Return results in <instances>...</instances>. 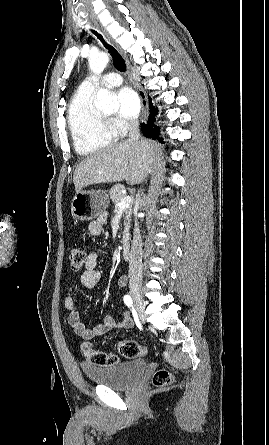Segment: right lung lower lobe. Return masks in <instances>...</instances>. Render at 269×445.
Wrapping results in <instances>:
<instances>
[{
	"instance_id": "right-lung-lower-lobe-1",
	"label": "right lung lower lobe",
	"mask_w": 269,
	"mask_h": 445,
	"mask_svg": "<svg viewBox=\"0 0 269 445\" xmlns=\"http://www.w3.org/2000/svg\"><path fill=\"white\" fill-rule=\"evenodd\" d=\"M150 102V116L148 119V125L143 124V132L146 137H152L153 139L158 138L159 134V128L154 126L155 121V115L158 113V110L154 108L151 97H149ZM161 143L163 142V139H159Z\"/></svg>"
}]
</instances>
